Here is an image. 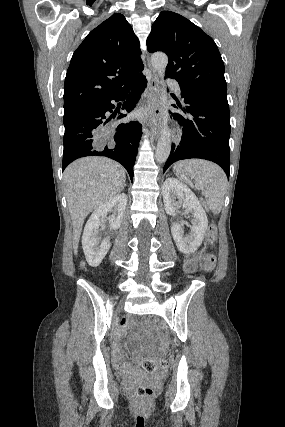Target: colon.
I'll list each match as a JSON object with an SVG mask.
<instances>
[{
    "instance_id": "obj_1",
    "label": "colon",
    "mask_w": 285,
    "mask_h": 427,
    "mask_svg": "<svg viewBox=\"0 0 285 427\" xmlns=\"http://www.w3.org/2000/svg\"><path fill=\"white\" fill-rule=\"evenodd\" d=\"M217 240V232L213 226H210L206 232L205 247L202 249L199 255V261L203 268L210 271L215 266V257L213 254L207 251V246H213ZM140 364L144 370L149 373H154L163 370L167 367V362L164 359H150L143 356H139ZM134 394L137 400L141 403H147L152 401L154 396V388L151 385H139L135 388Z\"/></svg>"
}]
</instances>
